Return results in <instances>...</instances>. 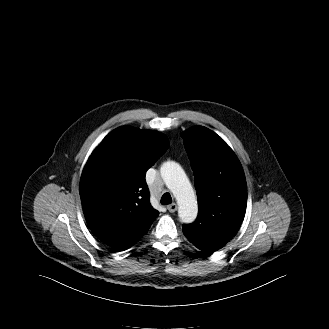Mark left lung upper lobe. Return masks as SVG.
<instances>
[{"instance_id":"1","label":"left lung upper lobe","mask_w":329,"mask_h":329,"mask_svg":"<svg viewBox=\"0 0 329 329\" xmlns=\"http://www.w3.org/2000/svg\"><path fill=\"white\" fill-rule=\"evenodd\" d=\"M195 174L199 213L183 226L189 241L215 240L236 233L244 219L247 185L232 149L213 131L195 126L181 134Z\"/></svg>"}]
</instances>
